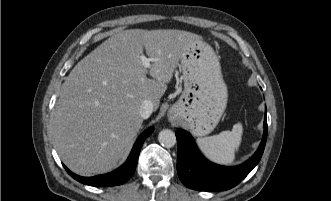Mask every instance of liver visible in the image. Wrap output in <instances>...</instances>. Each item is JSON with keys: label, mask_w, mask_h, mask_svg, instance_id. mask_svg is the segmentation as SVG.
<instances>
[{"label": "liver", "mask_w": 331, "mask_h": 201, "mask_svg": "<svg viewBox=\"0 0 331 201\" xmlns=\"http://www.w3.org/2000/svg\"><path fill=\"white\" fill-rule=\"evenodd\" d=\"M195 40L201 37L176 29L124 30L79 61L61 86L52 122L64 164L81 176L112 170L141 128L143 101L157 110L182 54ZM144 49L156 59L149 69L140 59Z\"/></svg>", "instance_id": "liver-1"}]
</instances>
